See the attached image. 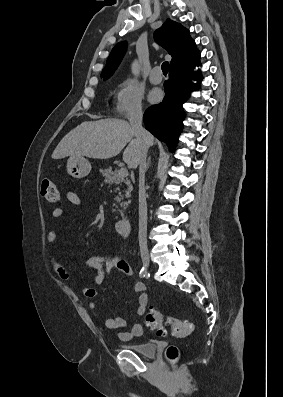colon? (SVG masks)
Wrapping results in <instances>:
<instances>
[{
    "mask_svg": "<svg viewBox=\"0 0 283 397\" xmlns=\"http://www.w3.org/2000/svg\"><path fill=\"white\" fill-rule=\"evenodd\" d=\"M40 193L49 203H57L60 199L59 192L54 182L49 178H43L40 183ZM147 326L163 335L169 327L176 337H187L192 334L194 325L188 320L174 318L156 308H151L146 314ZM166 359L175 363L179 357V350L176 346H169L165 352Z\"/></svg>",
    "mask_w": 283,
    "mask_h": 397,
    "instance_id": "obj_1",
    "label": "colon"
}]
</instances>
